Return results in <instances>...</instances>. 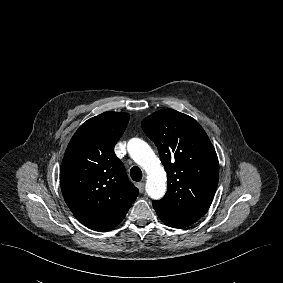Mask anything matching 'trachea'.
I'll list each match as a JSON object with an SVG mask.
<instances>
[{"mask_svg":"<svg viewBox=\"0 0 283 283\" xmlns=\"http://www.w3.org/2000/svg\"><path fill=\"white\" fill-rule=\"evenodd\" d=\"M132 180L139 182L142 179V171L139 167L133 166L130 170Z\"/></svg>","mask_w":283,"mask_h":283,"instance_id":"trachea-1","label":"trachea"}]
</instances>
